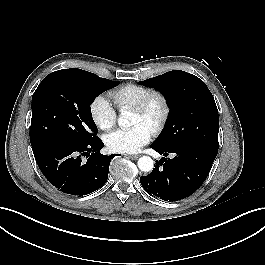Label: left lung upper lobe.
I'll return each mask as SVG.
<instances>
[{"instance_id":"obj_1","label":"left lung upper lobe","mask_w":265,"mask_h":265,"mask_svg":"<svg viewBox=\"0 0 265 265\" xmlns=\"http://www.w3.org/2000/svg\"><path fill=\"white\" fill-rule=\"evenodd\" d=\"M160 91L170 108L159 148L196 145L218 152L219 115L214 98L198 77L181 70L140 81Z\"/></svg>"}]
</instances>
